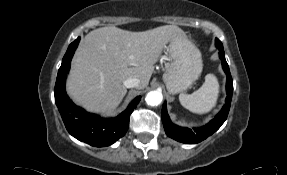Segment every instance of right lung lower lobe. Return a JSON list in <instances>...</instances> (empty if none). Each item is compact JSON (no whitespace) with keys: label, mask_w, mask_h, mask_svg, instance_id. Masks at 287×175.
<instances>
[{"label":"right lung lower lobe","mask_w":287,"mask_h":175,"mask_svg":"<svg viewBox=\"0 0 287 175\" xmlns=\"http://www.w3.org/2000/svg\"><path fill=\"white\" fill-rule=\"evenodd\" d=\"M79 41L80 37L73 41L63 57L55 84V103L67 131L73 137L91 146H109L127 132L130 115L139 103L141 96L136 97L124 112L114 118H101L76 106L65 91V82L71 59Z\"/></svg>","instance_id":"right-lung-lower-lobe-1"}]
</instances>
